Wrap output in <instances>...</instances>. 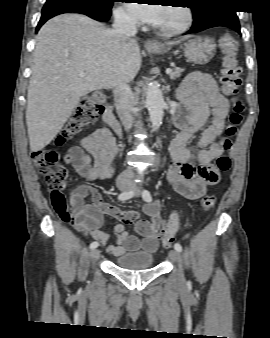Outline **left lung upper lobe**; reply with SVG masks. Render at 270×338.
I'll list each match as a JSON object with an SVG mask.
<instances>
[{"label":"left lung upper lobe","instance_id":"5c2ea615","mask_svg":"<svg viewBox=\"0 0 270 338\" xmlns=\"http://www.w3.org/2000/svg\"><path fill=\"white\" fill-rule=\"evenodd\" d=\"M229 0H192L191 3L199 4L191 7L193 12L192 28H197L209 19L221 15L230 9L227 8Z\"/></svg>","mask_w":270,"mask_h":338}]
</instances>
